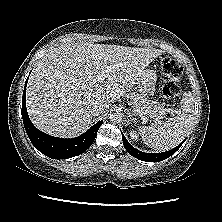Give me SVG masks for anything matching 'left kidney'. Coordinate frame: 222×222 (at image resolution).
<instances>
[{
    "label": "left kidney",
    "instance_id": "left-kidney-1",
    "mask_svg": "<svg viewBox=\"0 0 222 222\" xmlns=\"http://www.w3.org/2000/svg\"><path fill=\"white\" fill-rule=\"evenodd\" d=\"M129 136L130 138L133 140V141H137L138 140V134L137 132L132 129L130 132H129Z\"/></svg>",
    "mask_w": 222,
    "mask_h": 222
}]
</instances>
